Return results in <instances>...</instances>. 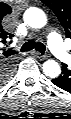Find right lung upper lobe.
<instances>
[{
  "mask_svg": "<svg viewBox=\"0 0 71 119\" xmlns=\"http://www.w3.org/2000/svg\"><path fill=\"white\" fill-rule=\"evenodd\" d=\"M11 13V8L8 5L4 6V10H3V16L10 14Z\"/></svg>",
  "mask_w": 71,
  "mask_h": 119,
  "instance_id": "right-lung-upper-lobe-1",
  "label": "right lung upper lobe"
}]
</instances>
